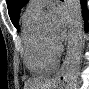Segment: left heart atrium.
I'll return each instance as SVG.
<instances>
[{
    "label": "left heart atrium",
    "mask_w": 89,
    "mask_h": 89,
    "mask_svg": "<svg viewBox=\"0 0 89 89\" xmlns=\"http://www.w3.org/2000/svg\"><path fill=\"white\" fill-rule=\"evenodd\" d=\"M67 19L63 9L56 7L52 10L51 38L54 42H61L66 35Z\"/></svg>",
    "instance_id": "left-heart-atrium-1"
}]
</instances>
